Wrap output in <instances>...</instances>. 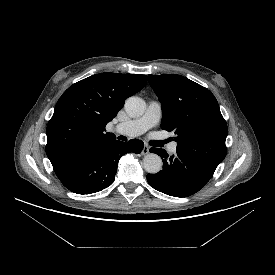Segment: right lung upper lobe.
<instances>
[{"mask_svg": "<svg viewBox=\"0 0 275 275\" xmlns=\"http://www.w3.org/2000/svg\"><path fill=\"white\" fill-rule=\"evenodd\" d=\"M146 75L100 73L70 86L48 122L46 154L51 162L115 140L105 126L139 92Z\"/></svg>", "mask_w": 275, "mask_h": 275, "instance_id": "1", "label": "right lung upper lobe"}]
</instances>
